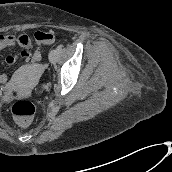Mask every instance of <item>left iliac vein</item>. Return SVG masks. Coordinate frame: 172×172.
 Instances as JSON below:
<instances>
[{"instance_id": "left-iliac-vein-1", "label": "left iliac vein", "mask_w": 172, "mask_h": 172, "mask_svg": "<svg viewBox=\"0 0 172 172\" xmlns=\"http://www.w3.org/2000/svg\"><path fill=\"white\" fill-rule=\"evenodd\" d=\"M58 58V52L57 50H51L49 52V60L51 63H55L57 61Z\"/></svg>"}]
</instances>
